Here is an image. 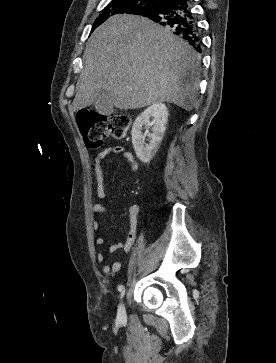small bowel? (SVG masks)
I'll use <instances>...</instances> for the list:
<instances>
[{
    "label": "small bowel",
    "instance_id": "1",
    "mask_svg": "<svg viewBox=\"0 0 276 363\" xmlns=\"http://www.w3.org/2000/svg\"><path fill=\"white\" fill-rule=\"evenodd\" d=\"M112 154H121V156L128 162L130 171H136L138 169V161L133 156L131 152H129L125 147L121 145H109L101 150L97 155L94 156L92 160V169L94 172V176L97 182V196L100 198V201L96 202L92 206V211L96 214L103 215L105 213V204L102 199L106 197V189L104 186V169H103V162L106 158H108ZM138 214H139V206L137 204H133L129 208V223L130 228L125 240L121 242H117L111 244L108 248L110 253H115L118 250H123L124 252H129L132 248L134 240L137 234V221H138ZM91 226L94 230L99 229V222L95 219L91 221ZM95 243L99 246L104 244L103 237H97L95 239ZM105 253L98 252L96 254V259L98 262L102 263L105 261ZM122 268V263L119 261L113 262L112 264H105L102 267V271L105 275L110 276L117 272H119Z\"/></svg>",
    "mask_w": 276,
    "mask_h": 363
}]
</instances>
